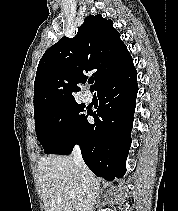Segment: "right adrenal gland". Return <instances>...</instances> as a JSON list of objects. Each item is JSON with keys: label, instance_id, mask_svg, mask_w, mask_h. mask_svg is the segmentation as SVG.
I'll return each mask as SVG.
<instances>
[{"label": "right adrenal gland", "instance_id": "2a0ac1e0", "mask_svg": "<svg viewBox=\"0 0 178 211\" xmlns=\"http://www.w3.org/2000/svg\"><path fill=\"white\" fill-rule=\"evenodd\" d=\"M101 188H100V184H97V197H99V192H100Z\"/></svg>", "mask_w": 178, "mask_h": 211}]
</instances>
